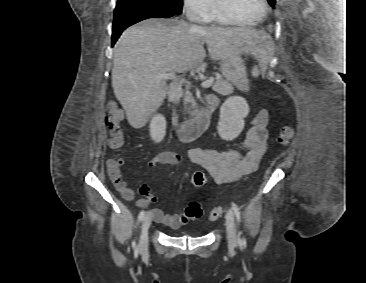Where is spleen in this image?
I'll list each match as a JSON object with an SVG mask.
<instances>
[{
    "label": "spleen",
    "mask_w": 366,
    "mask_h": 283,
    "mask_svg": "<svg viewBox=\"0 0 366 283\" xmlns=\"http://www.w3.org/2000/svg\"><path fill=\"white\" fill-rule=\"evenodd\" d=\"M252 75L254 76V77H258L259 76V74H260V71H259V69H258V67L257 66H255L253 69H252Z\"/></svg>",
    "instance_id": "obj_1"
}]
</instances>
